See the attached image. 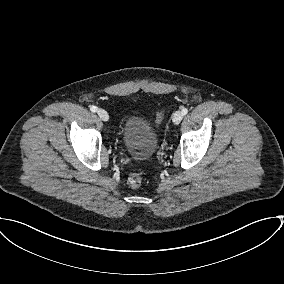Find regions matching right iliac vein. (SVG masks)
Masks as SVG:
<instances>
[{
	"label": "right iliac vein",
	"instance_id": "63e3f726",
	"mask_svg": "<svg viewBox=\"0 0 284 284\" xmlns=\"http://www.w3.org/2000/svg\"><path fill=\"white\" fill-rule=\"evenodd\" d=\"M98 116L100 117L101 120L103 121H108L109 120V115L104 109H99L97 111Z\"/></svg>",
	"mask_w": 284,
	"mask_h": 284
}]
</instances>
